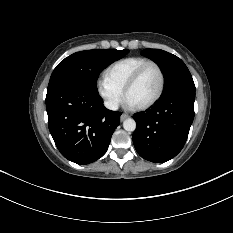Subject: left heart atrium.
<instances>
[{
    "label": "left heart atrium",
    "instance_id": "obj_1",
    "mask_svg": "<svg viewBox=\"0 0 233 233\" xmlns=\"http://www.w3.org/2000/svg\"><path fill=\"white\" fill-rule=\"evenodd\" d=\"M126 105L130 108L136 107L133 102H131L129 99H126Z\"/></svg>",
    "mask_w": 233,
    "mask_h": 233
}]
</instances>
